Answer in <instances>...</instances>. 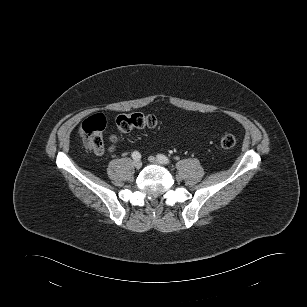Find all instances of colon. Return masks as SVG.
<instances>
[{"label":"colon","mask_w":307,"mask_h":307,"mask_svg":"<svg viewBox=\"0 0 307 307\" xmlns=\"http://www.w3.org/2000/svg\"><path fill=\"white\" fill-rule=\"evenodd\" d=\"M106 125V119L102 114L92 115L82 122L79 134L87 149L97 153L104 150ZM156 125L157 118L154 115L141 112L120 114L115 119L118 133H128L133 129L154 128ZM108 140L115 143L118 135L112 133L108 136ZM219 144L224 149H230L236 144V138L232 134H224L220 137Z\"/></svg>","instance_id":"5ec220e1"}]
</instances>
